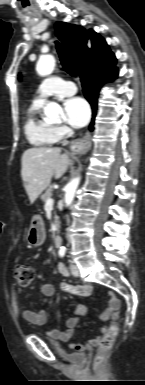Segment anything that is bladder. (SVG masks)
<instances>
[{
	"label": "bladder",
	"instance_id": "bladder-1",
	"mask_svg": "<svg viewBox=\"0 0 145 385\" xmlns=\"http://www.w3.org/2000/svg\"><path fill=\"white\" fill-rule=\"evenodd\" d=\"M70 357H74L76 362H83L86 359L84 354L71 355Z\"/></svg>",
	"mask_w": 145,
	"mask_h": 385
}]
</instances>
